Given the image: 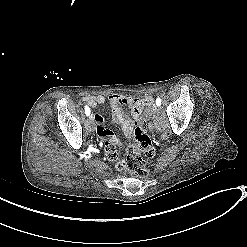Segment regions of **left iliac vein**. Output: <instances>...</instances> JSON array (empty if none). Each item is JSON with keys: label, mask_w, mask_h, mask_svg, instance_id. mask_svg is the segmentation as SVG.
<instances>
[{"label": "left iliac vein", "mask_w": 247, "mask_h": 247, "mask_svg": "<svg viewBox=\"0 0 247 247\" xmlns=\"http://www.w3.org/2000/svg\"><path fill=\"white\" fill-rule=\"evenodd\" d=\"M156 110H157V106L154 105V106H153V111H156Z\"/></svg>", "instance_id": "1"}]
</instances>
